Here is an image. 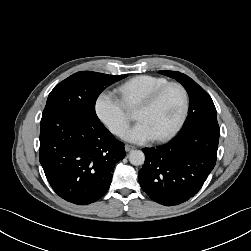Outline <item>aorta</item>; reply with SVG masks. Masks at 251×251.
I'll return each instance as SVG.
<instances>
[{"label":"aorta","instance_id":"1","mask_svg":"<svg viewBox=\"0 0 251 251\" xmlns=\"http://www.w3.org/2000/svg\"><path fill=\"white\" fill-rule=\"evenodd\" d=\"M129 161L135 166L142 165L145 161V155L141 150H133L129 153Z\"/></svg>","mask_w":251,"mask_h":251}]
</instances>
